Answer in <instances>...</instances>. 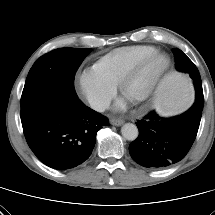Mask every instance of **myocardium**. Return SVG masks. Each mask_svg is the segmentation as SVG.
Masks as SVG:
<instances>
[{
  "instance_id": "f54148a6",
  "label": "myocardium",
  "mask_w": 215,
  "mask_h": 215,
  "mask_svg": "<svg viewBox=\"0 0 215 215\" xmlns=\"http://www.w3.org/2000/svg\"><path fill=\"white\" fill-rule=\"evenodd\" d=\"M156 58H163L164 63L158 70L152 81L149 83L145 91L139 96L132 99V102L135 104L144 103L153 96L164 76L169 70L170 59L168 55L157 50L145 55L126 72L119 83L120 91L125 95L128 86L139 76V74L148 66V64Z\"/></svg>"
}]
</instances>
